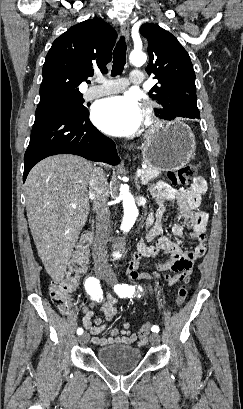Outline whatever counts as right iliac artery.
Segmentation results:
<instances>
[{
    "label": "right iliac artery",
    "instance_id": "obj_1",
    "mask_svg": "<svg viewBox=\"0 0 243 409\" xmlns=\"http://www.w3.org/2000/svg\"><path fill=\"white\" fill-rule=\"evenodd\" d=\"M85 289L87 293L95 300H98L102 295V290L100 287L99 280L94 277H89L85 282ZM83 333L82 328L77 329V334L81 335Z\"/></svg>",
    "mask_w": 243,
    "mask_h": 409
}]
</instances>
